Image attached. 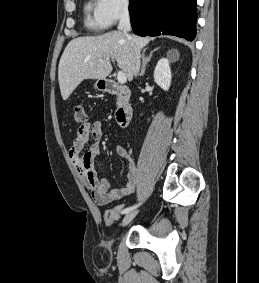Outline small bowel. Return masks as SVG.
<instances>
[{
	"label": "small bowel",
	"instance_id": "small-bowel-1",
	"mask_svg": "<svg viewBox=\"0 0 259 283\" xmlns=\"http://www.w3.org/2000/svg\"><path fill=\"white\" fill-rule=\"evenodd\" d=\"M103 131L99 121L83 123L77 130L76 137L68 151L69 159L77 173L86 183L93 200L99 205H106L132 195L137 186V168L132 156L119 145L116 148L118 156L125 158L127 164V182L124 187L109 190L110 180L104 177L98 179L94 169V160L100 155V140ZM92 140L87 150L85 147Z\"/></svg>",
	"mask_w": 259,
	"mask_h": 283
}]
</instances>
